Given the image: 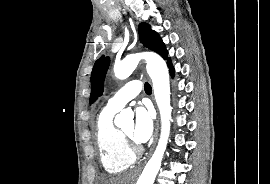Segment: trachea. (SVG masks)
<instances>
[{
    "label": "trachea",
    "mask_w": 270,
    "mask_h": 184,
    "mask_svg": "<svg viewBox=\"0 0 270 184\" xmlns=\"http://www.w3.org/2000/svg\"><path fill=\"white\" fill-rule=\"evenodd\" d=\"M144 89L146 93H151V86L149 83H145Z\"/></svg>",
    "instance_id": "trachea-1"
}]
</instances>
